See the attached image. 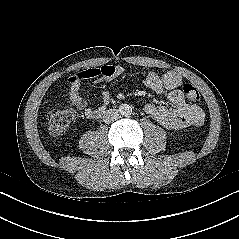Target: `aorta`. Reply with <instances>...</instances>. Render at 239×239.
Here are the masks:
<instances>
[{"instance_id":"aorta-1","label":"aorta","mask_w":239,"mask_h":239,"mask_svg":"<svg viewBox=\"0 0 239 239\" xmlns=\"http://www.w3.org/2000/svg\"><path fill=\"white\" fill-rule=\"evenodd\" d=\"M119 112L123 116H129V115L132 114V108L128 104H123V105L120 106Z\"/></svg>"}]
</instances>
